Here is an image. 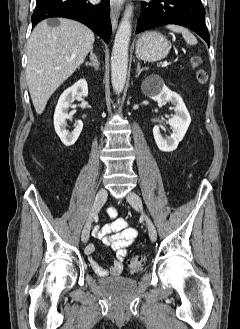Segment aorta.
Wrapping results in <instances>:
<instances>
[{
  "mask_svg": "<svg viewBox=\"0 0 240 329\" xmlns=\"http://www.w3.org/2000/svg\"><path fill=\"white\" fill-rule=\"evenodd\" d=\"M132 16L133 6L128 5L114 39L111 55V82L116 94L123 91L126 83Z\"/></svg>",
  "mask_w": 240,
  "mask_h": 329,
  "instance_id": "obj_1",
  "label": "aorta"
}]
</instances>
